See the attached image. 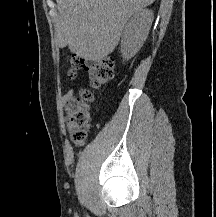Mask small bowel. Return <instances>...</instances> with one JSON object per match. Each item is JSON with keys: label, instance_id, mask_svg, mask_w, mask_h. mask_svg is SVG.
I'll use <instances>...</instances> for the list:
<instances>
[{"label": "small bowel", "instance_id": "obj_1", "mask_svg": "<svg viewBox=\"0 0 216 217\" xmlns=\"http://www.w3.org/2000/svg\"><path fill=\"white\" fill-rule=\"evenodd\" d=\"M74 95H75V91L72 89V90H69L62 97V106L67 110V116H68V113H69V111L71 109Z\"/></svg>", "mask_w": 216, "mask_h": 217}]
</instances>
